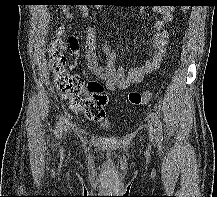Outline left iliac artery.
Wrapping results in <instances>:
<instances>
[{"label": "left iliac artery", "instance_id": "1", "mask_svg": "<svg viewBox=\"0 0 217 197\" xmlns=\"http://www.w3.org/2000/svg\"><path fill=\"white\" fill-rule=\"evenodd\" d=\"M150 117L155 127L156 140L157 142H161L163 140L161 121L156 113H150Z\"/></svg>", "mask_w": 217, "mask_h": 197}]
</instances>
